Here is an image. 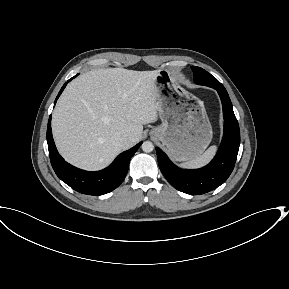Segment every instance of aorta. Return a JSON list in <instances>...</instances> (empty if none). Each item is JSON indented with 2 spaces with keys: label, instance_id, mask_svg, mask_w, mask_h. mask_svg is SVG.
<instances>
[{
  "label": "aorta",
  "instance_id": "obj_1",
  "mask_svg": "<svg viewBox=\"0 0 289 289\" xmlns=\"http://www.w3.org/2000/svg\"><path fill=\"white\" fill-rule=\"evenodd\" d=\"M142 150L146 153L152 152L154 149V145L151 141H145L142 144Z\"/></svg>",
  "mask_w": 289,
  "mask_h": 289
}]
</instances>
